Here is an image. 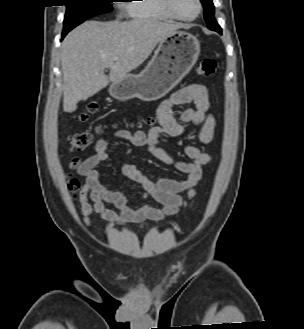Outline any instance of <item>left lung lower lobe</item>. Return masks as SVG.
Segmentation results:
<instances>
[{"label": "left lung lower lobe", "mask_w": 304, "mask_h": 329, "mask_svg": "<svg viewBox=\"0 0 304 329\" xmlns=\"http://www.w3.org/2000/svg\"><path fill=\"white\" fill-rule=\"evenodd\" d=\"M208 28L210 30H214V31H217L219 34H221V28L220 26L218 25V23L216 22L215 19L212 20V23L210 25H208Z\"/></svg>", "instance_id": "1"}]
</instances>
